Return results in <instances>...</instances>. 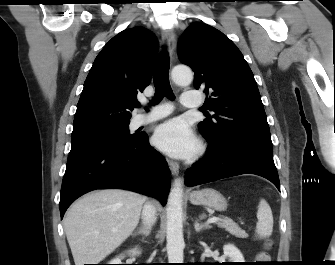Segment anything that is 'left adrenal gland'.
I'll list each match as a JSON object with an SVG mask.
<instances>
[{
    "instance_id": "obj_1",
    "label": "left adrenal gland",
    "mask_w": 335,
    "mask_h": 265,
    "mask_svg": "<svg viewBox=\"0 0 335 265\" xmlns=\"http://www.w3.org/2000/svg\"><path fill=\"white\" fill-rule=\"evenodd\" d=\"M194 228L196 232H200L201 230L211 228L209 224H200L198 220L195 221Z\"/></svg>"
}]
</instances>
